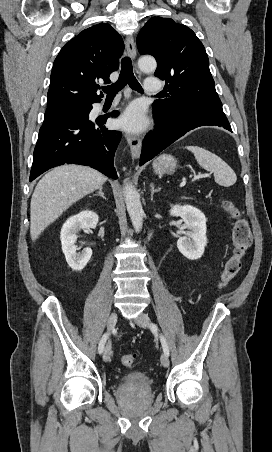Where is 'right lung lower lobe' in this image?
I'll use <instances>...</instances> for the list:
<instances>
[{"mask_svg":"<svg viewBox=\"0 0 272 452\" xmlns=\"http://www.w3.org/2000/svg\"><path fill=\"white\" fill-rule=\"evenodd\" d=\"M92 105L75 114L47 115L34 149L30 181L50 168L67 164L90 166L117 179L114 154L121 140L120 131H109L107 117L89 120ZM112 116L118 112L113 111Z\"/></svg>","mask_w":272,"mask_h":452,"instance_id":"1","label":"right lung lower lobe"}]
</instances>
